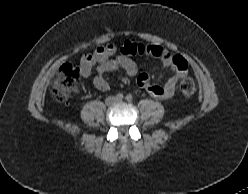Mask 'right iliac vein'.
<instances>
[{"label": "right iliac vein", "mask_w": 248, "mask_h": 194, "mask_svg": "<svg viewBox=\"0 0 248 194\" xmlns=\"http://www.w3.org/2000/svg\"><path fill=\"white\" fill-rule=\"evenodd\" d=\"M106 103H107V105H111V104L115 103V99L113 97H109V98H107Z\"/></svg>", "instance_id": "right-iliac-vein-1"}]
</instances>
